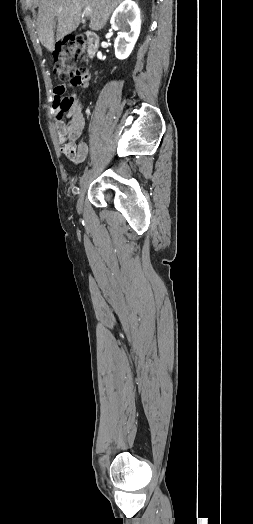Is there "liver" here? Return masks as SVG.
Here are the masks:
<instances>
[{
	"mask_svg": "<svg viewBox=\"0 0 253 524\" xmlns=\"http://www.w3.org/2000/svg\"><path fill=\"white\" fill-rule=\"evenodd\" d=\"M123 0H39L37 33L42 45L53 51L54 28L57 21L56 40L73 32L79 26L82 9L90 7V29L99 31L107 23L111 13Z\"/></svg>",
	"mask_w": 253,
	"mask_h": 524,
	"instance_id": "6515ba94",
	"label": "liver"
}]
</instances>
